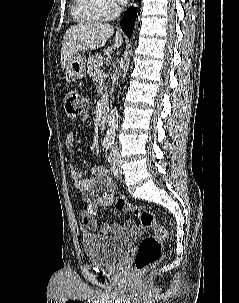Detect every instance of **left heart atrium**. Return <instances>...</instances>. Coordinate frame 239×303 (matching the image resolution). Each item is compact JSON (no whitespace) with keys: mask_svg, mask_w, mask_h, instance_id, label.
Listing matches in <instances>:
<instances>
[{"mask_svg":"<svg viewBox=\"0 0 239 303\" xmlns=\"http://www.w3.org/2000/svg\"><path fill=\"white\" fill-rule=\"evenodd\" d=\"M121 2H127L128 0H120Z\"/></svg>","mask_w":239,"mask_h":303,"instance_id":"39dd6f15","label":"left heart atrium"}]
</instances>
